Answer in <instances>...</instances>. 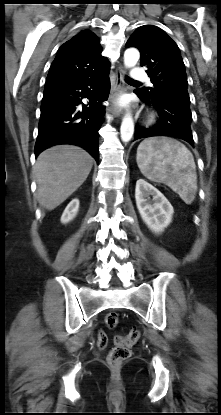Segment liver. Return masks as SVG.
Wrapping results in <instances>:
<instances>
[{
  "mask_svg": "<svg viewBox=\"0 0 221 415\" xmlns=\"http://www.w3.org/2000/svg\"><path fill=\"white\" fill-rule=\"evenodd\" d=\"M92 157L73 145H57L37 158L34 174L39 204L53 210L73 194L87 179Z\"/></svg>",
  "mask_w": 221,
  "mask_h": 415,
  "instance_id": "obj_1",
  "label": "liver"
}]
</instances>
